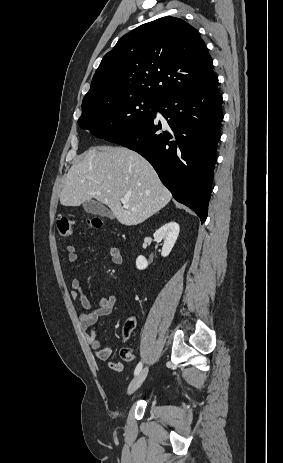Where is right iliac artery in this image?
I'll list each match as a JSON object with an SVG mask.
<instances>
[{
  "mask_svg": "<svg viewBox=\"0 0 283 463\" xmlns=\"http://www.w3.org/2000/svg\"><path fill=\"white\" fill-rule=\"evenodd\" d=\"M142 369V362H139L135 368L134 375H137Z\"/></svg>",
  "mask_w": 283,
  "mask_h": 463,
  "instance_id": "right-iliac-artery-1",
  "label": "right iliac artery"
}]
</instances>
